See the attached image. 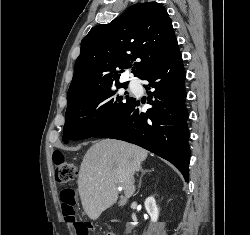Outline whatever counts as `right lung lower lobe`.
Returning <instances> with one entry per match:
<instances>
[{
	"label": "right lung lower lobe",
	"instance_id": "98d812e1",
	"mask_svg": "<svg viewBox=\"0 0 250 235\" xmlns=\"http://www.w3.org/2000/svg\"><path fill=\"white\" fill-rule=\"evenodd\" d=\"M153 105L140 111L139 101L130 105L109 125L96 133V138H114L139 145L175 165L188 181L190 149L185 107L187 96L183 67L177 41L167 56L155 64L142 78Z\"/></svg>",
	"mask_w": 250,
	"mask_h": 235
}]
</instances>
